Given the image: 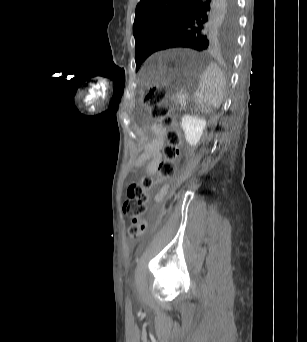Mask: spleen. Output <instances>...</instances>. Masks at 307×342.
<instances>
[{"mask_svg":"<svg viewBox=\"0 0 307 342\" xmlns=\"http://www.w3.org/2000/svg\"><path fill=\"white\" fill-rule=\"evenodd\" d=\"M207 66L198 82L197 92L195 94L197 104L203 114H217V108H220L225 96L226 80L219 66L214 64Z\"/></svg>","mask_w":307,"mask_h":342,"instance_id":"obj_1","label":"spleen"}]
</instances>
